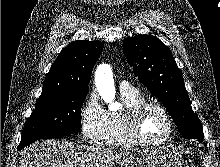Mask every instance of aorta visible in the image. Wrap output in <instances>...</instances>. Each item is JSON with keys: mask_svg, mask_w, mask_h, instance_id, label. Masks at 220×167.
Masks as SVG:
<instances>
[{"mask_svg": "<svg viewBox=\"0 0 220 167\" xmlns=\"http://www.w3.org/2000/svg\"><path fill=\"white\" fill-rule=\"evenodd\" d=\"M95 83L101 98L109 104L111 110L119 109L120 104L115 100V86L113 75L108 65H100L95 74Z\"/></svg>", "mask_w": 220, "mask_h": 167, "instance_id": "1", "label": "aorta"}]
</instances>
